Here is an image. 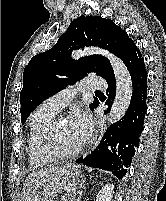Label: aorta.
I'll use <instances>...</instances> for the list:
<instances>
[{
  "label": "aorta",
  "instance_id": "762f6f07",
  "mask_svg": "<svg viewBox=\"0 0 166 201\" xmlns=\"http://www.w3.org/2000/svg\"><path fill=\"white\" fill-rule=\"evenodd\" d=\"M91 54H102L109 59L116 79V96L108 115V123L113 124L119 121L126 113L132 98V80L129 71L123 61L107 50L97 47L86 48L83 51H76L72 54L74 59Z\"/></svg>",
  "mask_w": 166,
  "mask_h": 201
}]
</instances>
